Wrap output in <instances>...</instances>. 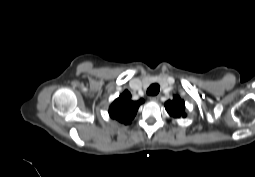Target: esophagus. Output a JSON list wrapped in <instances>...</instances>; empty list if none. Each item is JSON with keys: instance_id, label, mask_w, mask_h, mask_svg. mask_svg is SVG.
<instances>
[{"instance_id": "34e87169", "label": "esophagus", "mask_w": 255, "mask_h": 177, "mask_svg": "<svg viewBox=\"0 0 255 177\" xmlns=\"http://www.w3.org/2000/svg\"><path fill=\"white\" fill-rule=\"evenodd\" d=\"M150 100L158 101L159 100V96H152V97H150Z\"/></svg>"}]
</instances>
